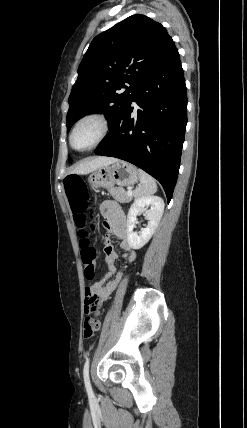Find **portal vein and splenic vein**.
Here are the masks:
<instances>
[{"label": "portal vein and splenic vein", "instance_id": "18ae733b", "mask_svg": "<svg viewBox=\"0 0 247 428\" xmlns=\"http://www.w3.org/2000/svg\"><path fill=\"white\" fill-rule=\"evenodd\" d=\"M127 194H128L129 196H132V191H131V190H128V191H127Z\"/></svg>", "mask_w": 247, "mask_h": 428}]
</instances>
